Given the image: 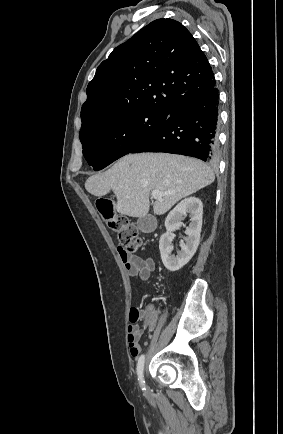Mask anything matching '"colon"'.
<instances>
[{
  "label": "colon",
  "mask_w": 283,
  "mask_h": 434,
  "mask_svg": "<svg viewBox=\"0 0 283 434\" xmlns=\"http://www.w3.org/2000/svg\"><path fill=\"white\" fill-rule=\"evenodd\" d=\"M96 208L103 220L109 227L117 232L118 240L124 252L132 254L140 248L144 241L139 237L137 230L130 224L129 220L121 215L116 214L113 202L109 199H98ZM142 317L138 308L130 310V322L135 324Z\"/></svg>",
  "instance_id": "5ec220e1"
}]
</instances>
